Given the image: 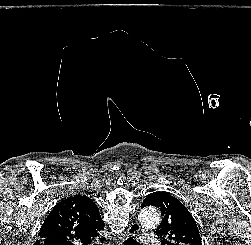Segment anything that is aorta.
I'll return each mask as SVG.
<instances>
[{"label":"aorta","mask_w":251,"mask_h":245,"mask_svg":"<svg viewBox=\"0 0 251 245\" xmlns=\"http://www.w3.org/2000/svg\"><path fill=\"white\" fill-rule=\"evenodd\" d=\"M141 222L151 228H155L160 223V215L156 208L148 207L140 213Z\"/></svg>","instance_id":"aorta-1"}]
</instances>
